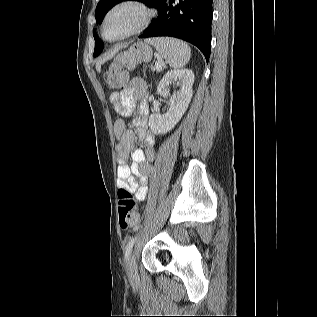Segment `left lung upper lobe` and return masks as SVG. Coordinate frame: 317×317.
Segmentation results:
<instances>
[{"label": "left lung upper lobe", "mask_w": 317, "mask_h": 317, "mask_svg": "<svg viewBox=\"0 0 317 317\" xmlns=\"http://www.w3.org/2000/svg\"><path fill=\"white\" fill-rule=\"evenodd\" d=\"M125 0H100L96 7L95 17L96 23L101 24L102 20L107 13V11L112 8L115 4L122 2ZM145 3L149 7L159 8L162 0H135ZM94 39H95V50L94 56H98L101 51L103 50V43L102 41L96 36V33L93 32Z\"/></svg>", "instance_id": "left-lung-upper-lobe-1"}]
</instances>
